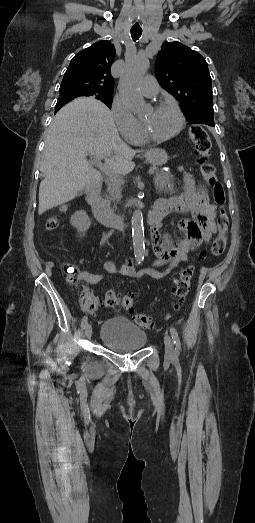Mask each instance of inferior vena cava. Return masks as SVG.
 Wrapping results in <instances>:
<instances>
[{
	"label": "inferior vena cava",
	"instance_id": "602c4592",
	"mask_svg": "<svg viewBox=\"0 0 255 523\" xmlns=\"http://www.w3.org/2000/svg\"><path fill=\"white\" fill-rule=\"evenodd\" d=\"M123 228H124V224H123L122 220H119V222H118V230H121V232H122Z\"/></svg>",
	"mask_w": 255,
	"mask_h": 523
}]
</instances>
